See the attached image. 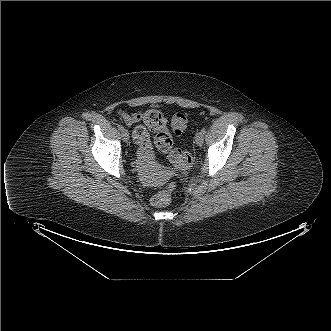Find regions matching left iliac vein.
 I'll use <instances>...</instances> for the list:
<instances>
[{
	"mask_svg": "<svg viewBox=\"0 0 331 331\" xmlns=\"http://www.w3.org/2000/svg\"><path fill=\"white\" fill-rule=\"evenodd\" d=\"M203 141H204V135L201 133V132H198L196 135H195V143L198 145V146H201L203 144Z\"/></svg>",
	"mask_w": 331,
	"mask_h": 331,
	"instance_id": "obj_1",
	"label": "left iliac vein"
}]
</instances>
